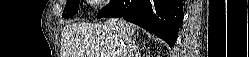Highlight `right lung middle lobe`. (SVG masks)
I'll use <instances>...</instances> for the list:
<instances>
[{
	"instance_id": "1",
	"label": "right lung middle lobe",
	"mask_w": 249,
	"mask_h": 57,
	"mask_svg": "<svg viewBox=\"0 0 249 57\" xmlns=\"http://www.w3.org/2000/svg\"><path fill=\"white\" fill-rule=\"evenodd\" d=\"M79 2L80 0L67 1L62 17L68 18L74 16L79 9Z\"/></svg>"
}]
</instances>
